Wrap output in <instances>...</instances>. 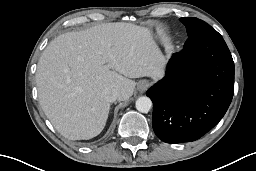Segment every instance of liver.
<instances>
[{
    "label": "liver",
    "instance_id": "1",
    "mask_svg": "<svg viewBox=\"0 0 256 171\" xmlns=\"http://www.w3.org/2000/svg\"><path fill=\"white\" fill-rule=\"evenodd\" d=\"M165 58L146 27L106 23L52 40L38 61L40 105L55 129L70 140L101 133L110 110L102 92L115 88L129 99L133 78L162 76Z\"/></svg>",
    "mask_w": 256,
    "mask_h": 171
}]
</instances>
